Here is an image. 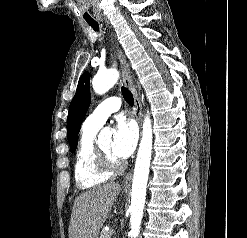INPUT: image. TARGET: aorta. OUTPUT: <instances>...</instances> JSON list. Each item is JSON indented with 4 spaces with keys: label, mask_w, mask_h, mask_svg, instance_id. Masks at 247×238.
I'll list each match as a JSON object with an SVG mask.
<instances>
[{
    "label": "aorta",
    "mask_w": 247,
    "mask_h": 238,
    "mask_svg": "<svg viewBox=\"0 0 247 238\" xmlns=\"http://www.w3.org/2000/svg\"><path fill=\"white\" fill-rule=\"evenodd\" d=\"M118 78L119 74L116 70H108L104 73H98L92 80L93 89L97 94H104L116 84ZM111 135L112 133L110 129L104 128L99 137L110 139ZM152 137L151 119L147 115L143 123L142 138L138 149L132 181L130 205V233L132 238H137L143 217L147 181L152 155Z\"/></svg>",
    "instance_id": "1"
}]
</instances>
